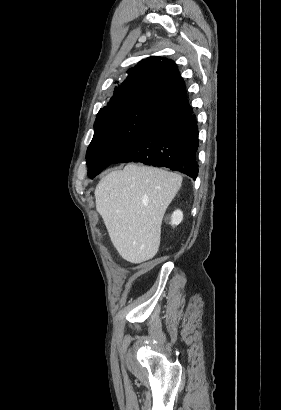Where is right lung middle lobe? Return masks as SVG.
Listing matches in <instances>:
<instances>
[{
    "label": "right lung middle lobe",
    "instance_id": "obj_1",
    "mask_svg": "<svg viewBox=\"0 0 281 410\" xmlns=\"http://www.w3.org/2000/svg\"><path fill=\"white\" fill-rule=\"evenodd\" d=\"M164 111L144 103L121 104L100 110L86 154L89 178L113 163Z\"/></svg>",
    "mask_w": 281,
    "mask_h": 410
}]
</instances>
